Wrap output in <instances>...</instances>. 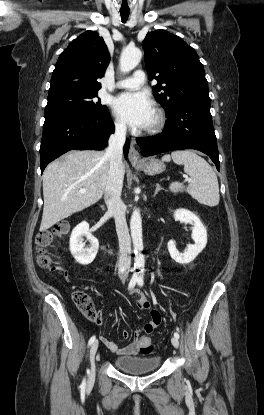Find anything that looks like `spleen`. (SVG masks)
<instances>
[{"label":"spleen","mask_w":264,"mask_h":415,"mask_svg":"<svg viewBox=\"0 0 264 415\" xmlns=\"http://www.w3.org/2000/svg\"><path fill=\"white\" fill-rule=\"evenodd\" d=\"M184 165V171L190 176L191 182L185 188L179 182H172L171 192L186 191L199 203L214 207L219 204V185L213 168L202 157L190 150L173 151L162 157L163 161H171Z\"/></svg>","instance_id":"spleen-1"}]
</instances>
